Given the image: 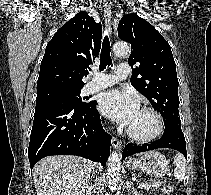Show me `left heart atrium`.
Wrapping results in <instances>:
<instances>
[{
	"label": "left heart atrium",
	"instance_id": "1",
	"mask_svg": "<svg viewBox=\"0 0 211 195\" xmlns=\"http://www.w3.org/2000/svg\"><path fill=\"white\" fill-rule=\"evenodd\" d=\"M99 110L119 125L129 127L139 111V105L132 93L110 90L100 96Z\"/></svg>",
	"mask_w": 211,
	"mask_h": 195
}]
</instances>
